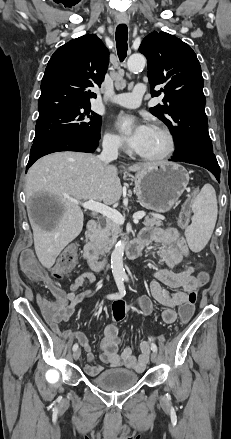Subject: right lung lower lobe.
Here are the masks:
<instances>
[{"label": "right lung lower lobe", "instance_id": "98d812e1", "mask_svg": "<svg viewBox=\"0 0 231 439\" xmlns=\"http://www.w3.org/2000/svg\"><path fill=\"white\" fill-rule=\"evenodd\" d=\"M99 145V140L81 138H56L39 143H33L30 158L26 169L40 157L59 151L94 152Z\"/></svg>", "mask_w": 231, "mask_h": 439}]
</instances>
